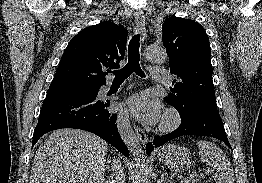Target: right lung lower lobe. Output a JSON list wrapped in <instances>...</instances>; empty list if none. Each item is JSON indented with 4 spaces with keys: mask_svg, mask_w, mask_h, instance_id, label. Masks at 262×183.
Here are the masks:
<instances>
[{
    "mask_svg": "<svg viewBox=\"0 0 262 183\" xmlns=\"http://www.w3.org/2000/svg\"><path fill=\"white\" fill-rule=\"evenodd\" d=\"M90 89L92 92L86 94L47 93L34 130L32 147L48 131L76 128L96 134L128 157L129 151L115 124L117 115L107 109L110 101L97 99L100 87Z\"/></svg>",
    "mask_w": 262,
    "mask_h": 183,
    "instance_id": "obj_1",
    "label": "right lung lower lobe"
}]
</instances>
